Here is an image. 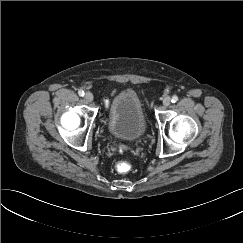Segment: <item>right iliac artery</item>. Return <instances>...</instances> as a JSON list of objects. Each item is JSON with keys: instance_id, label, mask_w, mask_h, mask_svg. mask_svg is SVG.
<instances>
[{"instance_id": "82829eb1", "label": "right iliac artery", "mask_w": 243, "mask_h": 243, "mask_svg": "<svg viewBox=\"0 0 243 243\" xmlns=\"http://www.w3.org/2000/svg\"><path fill=\"white\" fill-rule=\"evenodd\" d=\"M78 94H79V96H84V91L83 90H79Z\"/></svg>"}]
</instances>
